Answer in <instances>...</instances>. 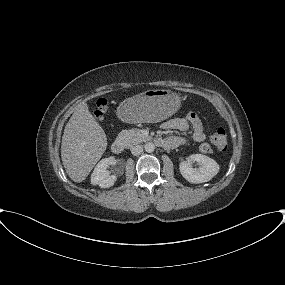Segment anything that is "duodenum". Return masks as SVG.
<instances>
[{"label":"duodenum","instance_id":"duodenum-1","mask_svg":"<svg viewBox=\"0 0 285 285\" xmlns=\"http://www.w3.org/2000/svg\"><path fill=\"white\" fill-rule=\"evenodd\" d=\"M155 143L160 145V146H165V141L163 139H156ZM111 150L114 154H121L125 150V142L123 139H116L112 146Z\"/></svg>","mask_w":285,"mask_h":285}]
</instances>
